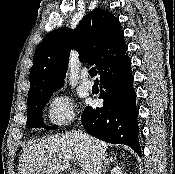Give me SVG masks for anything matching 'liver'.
I'll return each mask as SVG.
<instances>
[{
    "label": "liver",
    "mask_w": 175,
    "mask_h": 174,
    "mask_svg": "<svg viewBox=\"0 0 175 174\" xmlns=\"http://www.w3.org/2000/svg\"><path fill=\"white\" fill-rule=\"evenodd\" d=\"M85 141L78 133L56 134L28 145L20 159L18 174H54L70 169L69 157H76L84 174L91 168L94 147L103 157L108 144L89 136Z\"/></svg>",
    "instance_id": "6515ba94"
}]
</instances>
